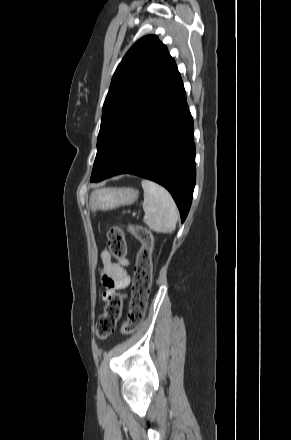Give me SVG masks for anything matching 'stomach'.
<instances>
[{
  "label": "stomach",
  "mask_w": 291,
  "mask_h": 440,
  "mask_svg": "<svg viewBox=\"0 0 291 440\" xmlns=\"http://www.w3.org/2000/svg\"><path fill=\"white\" fill-rule=\"evenodd\" d=\"M138 194L137 190L130 187L97 189L91 193L89 207L93 212L112 210L134 203Z\"/></svg>",
  "instance_id": "1"
}]
</instances>
